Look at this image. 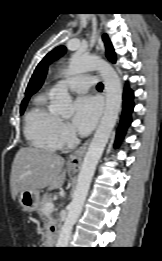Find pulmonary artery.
I'll use <instances>...</instances> for the list:
<instances>
[{
  "label": "pulmonary artery",
  "instance_id": "e3ab8cb5",
  "mask_svg": "<svg viewBox=\"0 0 162 261\" xmlns=\"http://www.w3.org/2000/svg\"><path fill=\"white\" fill-rule=\"evenodd\" d=\"M96 82V77L88 74H80L69 79L60 81L70 91L75 93H84L87 89L93 86Z\"/></svg>",
  "mask_w": 162,
  "mask_h": 261
}]
</instances>
